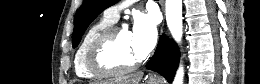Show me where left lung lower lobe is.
<instances>
[{"label":"left lung lower lobe","instance_id":"left-lung-lower-lobe-1","mask_svg":"<svg viewBox=\"0 0 260 84\" xmlns=\"http://www.w3.org/2000/svg\"><path fill=\"white\" fill-rule=\"evenodd\" d=\"M179 51L176 45L165 36L160 38L154 56L147 63V68L158 71L172 82L179 62Z\"/></svg>","mask_w":260,"mask_h":84}]
</instances>
